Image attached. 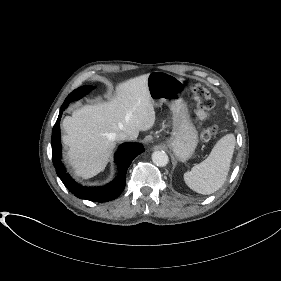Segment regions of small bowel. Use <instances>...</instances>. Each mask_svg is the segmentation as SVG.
Listing matches in <instances>:
<instances>
[{
    "label": "small bowel",
    "instance_id": "c3829d8e",
    "mask_svg": "<svg viewBox=\"0 0 281 281\" xmlns=\"http://www.w3.org/2000/svg\"><path fill=\"white\" fill-rule=\"evenodd\" d=\"M196 117H197L198 120L201 121V120L205 119L206 115H205V113H203L201 111H197L196 112Z\"/></svg>",
    "mask_w": 281,
    "mask_h": 281
}]
</instances>
